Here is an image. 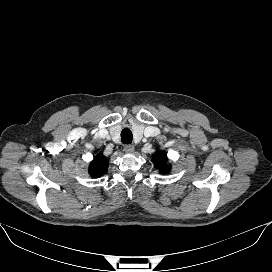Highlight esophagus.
Masks as SVG:
<instances>
[{
    "label": "esophagus",
    "instance_id": "obj_1",
    "mask_svg": "<svg viewBox=\"0 0 272 272\" xmlns=\"http://www.w3.org/2000/svg\"><path fill=\"white\" fill-rule=\"evenodd\" d=\"M134 150H135V148H134V146L131 145V144L125 145V147H124V151H125L126 153H133Z\"/></svg>",
    "mask_w": 272,
    "mask_h": 272
}]
</instances>
